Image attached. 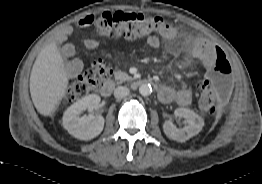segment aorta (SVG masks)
I'll return each instance as SVG.
<instances>
[{
    "instance_id": "aorta-1",
    "label": "aorta",
    "mask_w": 262,
    "mask_h": 184,
    "mask_svg": "<svg viewBox=\"0 0 262 184\" xmlns=\"http://www.w3.org/2000/svg\"><path fill=\"white\" fill-rule=\"evenodd\" d=\"M139 92L142 96H148L152 92V87L149 84H142L139 87Z\"/></svg>"
}]
</instances>
